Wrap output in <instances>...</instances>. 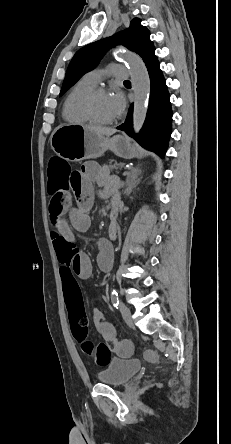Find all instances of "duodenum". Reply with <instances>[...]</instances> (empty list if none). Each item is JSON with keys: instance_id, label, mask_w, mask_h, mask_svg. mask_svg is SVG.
Wrapping results in <instances>:
<instances>
[{"instance_id": "1", "label": "duodenum", "mask_w": 231, "mask_h": 444, "mask_svg": "<svg viewBox=\"0 0 231 444\" xmlns=\"http://www.w3.org/2000/svg\"><path fill=\"white\" fill-rule=\"evenodd\" d=\"M119 218V213L117 211V207L113 206L110 212V230L113 231L117 226V221Z\"/></svg>"}]
</instances>
